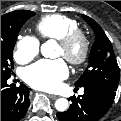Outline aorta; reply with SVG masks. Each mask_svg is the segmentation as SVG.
I'll return each mask as SVG.
<instances>
[{
  "instance_id": "aorta-1",
  "label": "aorta",
  "mask_w": 121,
  "mask_h": 121,
  "mask_svg": "<svg viewBox=\"0 0 121 121\" xmlns=\"http://www.w3.org/2000/svg\"><path fill=\"white\" fill-rule=\"evenodd\" d=\"M57 44L54 40H48L47 42L41 45L40 51L41 54L46 58H53L54 57V50ZM69 106L68 100L65 98H59L55 102V108L59 112H64L67 110Z\"/></svg>"
}]
</instances>
